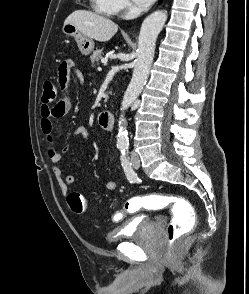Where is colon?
Returning a JSON list of instances; mask_svg holds the SVG:
<instances>
[{
    "label": "colon",
    "mask_w": 249,
    "mask_h": 294,
    "mask_svg": "<svg viewBox=\"0 0 249 294\" xmlns=\"http://www.w3.org/2000/svg\"><path fill=\"white\" fill-rule=\"evenodd\" d=\"M70 62L65 59L59 68L63 72L69 69ZM58 88L50 80L43 84L42 101L50 104L58 98ZM70 209L77 215H84L87 212V203L83 196L78 193H70L67 197ZM168 205L174 206V216L166 228V236L170 243H176L185 233L189 232L195 225L196 217L193 207L190 203L174 195H149L134 197L127 200L123 210L117 214L120 218L127 214H133L141 209H158ZM186 211V213H183Z\"/></svg>",
    "instance_id": "colon-1"
}]
</instances>
